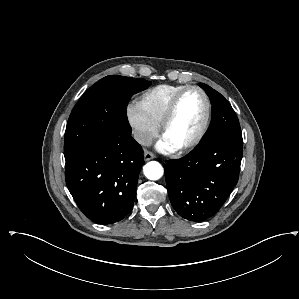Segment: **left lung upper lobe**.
Returning <instances> with one entry per match:
<instances>
[{
  "label": "left lung upper lobe",
  "instance_id": "obj_1",
  "mask_svg": "<svg viewBox=\"0 0 299 299\" xmlns=\"http://www.w3.org/2000/svg\"><path fill=\"white\" fill-rule=\"evenodd\" d=\"M199 86L205 90L212 104L211 123L200 143L218 137L242 140L238 118L228 101L210 86L203 83H199Z\"/></svg>",
  "mask_w": 299,
  "mask_h": 299
}]
</instances>
